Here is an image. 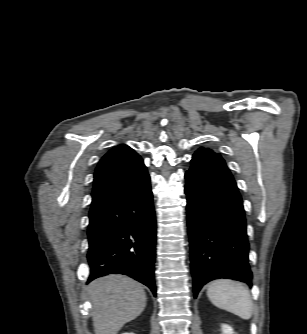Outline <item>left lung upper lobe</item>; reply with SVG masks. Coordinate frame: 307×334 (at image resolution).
<instances>
[{"mask_svg":"<svg viewBox=\"0 0 307 334\" xmlns=\"http://www.w3.org/2000/svg\"><path fill=\"white\" fill-rule=\"evenodd\" d=\"M191 161H203L214 165L226 166L225 161L219 154L214 153L211 149L205 148L197 150Z\"/></svg>","mask_w":307,"mask_h":334,"instance_id":"1","label":"left lung upper lobe"}]
</instances>
